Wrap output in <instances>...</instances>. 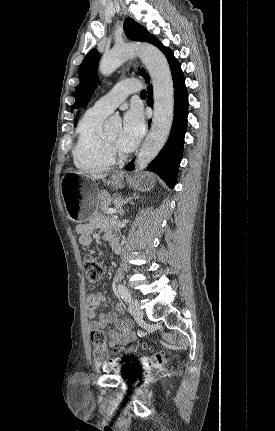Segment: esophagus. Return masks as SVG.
Returning a JSON list of instances; mask_svg holds the SVG:
<instances>
[{
    "label": "esophagus",
    "instance_id": "esophagus-1",
    "mask_svg": "<svg viewBox=\"0 0 275 431\" xmlns=\"http://www.w3.org/2000/svg\"><path fill=\"white\" fill-rule=\"evenodd\" d=\"M133 64L135 65V66H138L139 64H138V62H137V60H134L133 61Z\"/></svg>",
    "mask_w": 275,
    "mask_h": 431
}]
</instances>
